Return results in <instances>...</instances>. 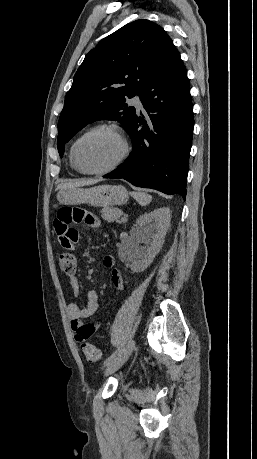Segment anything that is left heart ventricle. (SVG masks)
<instances>
[{
	"instance_id": "b2bd125f",
	"label": "left heart ventricle",
	"mask_w": 257,
	"mask_h": 459,
	"mask_svg": "<svg viewBox=\"0 0 257 459\" xmlns=\"http://www.w3.org/2000/svg\"><path fill=\"white\" fill-rule=\"evenodd\" d=\"M122 152L118 137L110 131L95 132L83 139L77 147V159L88 170L108 167Z\"/></svg>"
}]
</instances>
